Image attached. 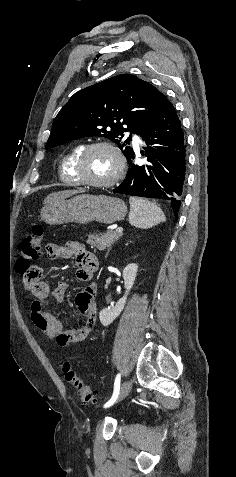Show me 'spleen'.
I'll return each instance as SVG.
<instances>
[{"instance_id": "obj_1", "label": "spleen", "mask_w": 236, "mask_h": 477, "mask_svg": "<svg viewBox=\"0 0 236 477\" xmlns=\"http://www.w3.org/2000/svg\"><path fill=\"white\" fill-rule=\"evenodd\" d=\"M129 223L140 229H148L165 222L161 208L154 202L142 198L130 197Z\"/></svg>"}]
</instances>
